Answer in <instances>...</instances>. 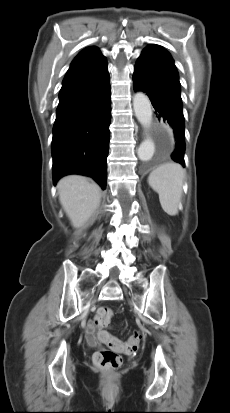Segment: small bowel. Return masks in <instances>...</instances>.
I'll use <instances>...</instances> for the list:
<instances>
[{
  "instance_id": "small-bowel-1",
  "label": "small bowel",
  "mask_w": 230,
  "mask_h": 413,
  "mask_svg": "<svg viewBox=\"0 0 230 413\" xmlns=\"http://www.w3.org/2000/svg\"><path fill=\"white\" fill-rule=\"evenodd\" d=\"M86 335L93 343L99 342L108 345L109 340L112 337L107 331L101 330L99 327H97L95 323L91 320L87 322Z\"/></svg>"
}]
</instances>
